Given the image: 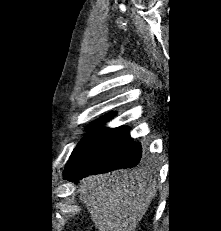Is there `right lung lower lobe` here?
I'll use <instances>...</instances> for the list:
<instances>
[{
	"mask_svg": "<svg viewBox=\"0 0 221 231\" xmlns=\"http://www.w3.org/2000/svg\"><path fill=\"white\" fill-rule=\"evenodd\" d=\"M141 158V144L132 140L129 127L107 128L74 164L66 166L63 177L77 182L90 174L133 168Z\"/></svg>",
	"mask_w": 221,
	"mask_h": 231,
	"instance_id": "98d812e1",
	"label": "right lung lower lobe"
}]
</instances>
